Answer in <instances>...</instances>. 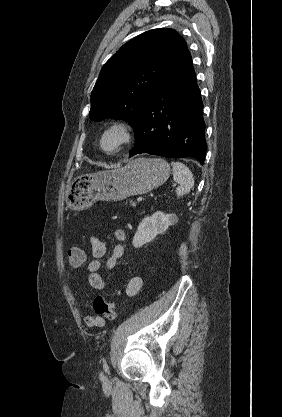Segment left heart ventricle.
Segmentation results:
<instances>
[{
    "label": "left heart ventricle",
    "mask_w": 282,
    "mask_h": 417,
    "mask_svg": "<svg viewBox=\"0 0 282 417\" xmlns=\"http://www.w3.org/2000/svg\"><path fill=\"white\" fill-rule=\"evenodd\" d=\"M116 140H117V138L115 136H108V137L105 138V140L103 142L104 146L108 149H111L115 145Z\"/></svg>",
    "instance_id": "left-heart-ventricle-1"
}]
</instances>
